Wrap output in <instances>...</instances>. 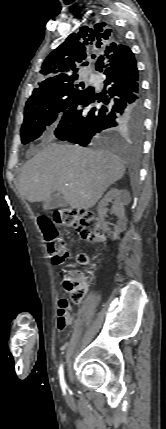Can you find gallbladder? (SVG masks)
Listing matches in <instances>:
<instances>
[{"instance_id": "gallbladder-1", "label": "gallbladder", "mask_w": 166, "mask_h": 429, "mask_svg": "<svg viewBox=\"0 0 166 429\" xmlns=\"http://www.w3.org/2000/svg\"><path fill=\"white\" fill-rule=\"evenodd\" d=\"M67 202L64 200V198L59 194H52L51 197L43 202V208L45 210L55 209L59 207H66Z\"/></svg>"}]
</instances>
